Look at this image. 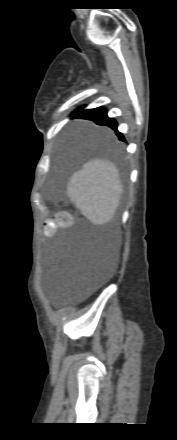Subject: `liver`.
Returning <instances> with one entry per match:
<instances>
[{"label":"liver","instance_id":"obj_1","mask_svg":"<svg viewBox=\"0 0 177 440\" xmlns=\"http://www.w3.org/2000/svg\"><path fill=\"white\" fill-rule=\"evenodd\" d=\"M123 193L119 170L108 159L95 158L69 178L66 195L88 220L104 225L115 216Z\"/></svg>","mask_w":177,"mask_h":440}]
</instances>
